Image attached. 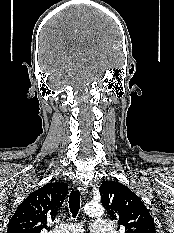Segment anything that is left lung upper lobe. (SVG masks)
<instances>
[{
	"instance_id": "5c2ea615",
	"label": "left lung upper lobe",
	"mask_w": 174,
	"mask_h": 233,
	"mask_svg": "<svg viewBox=\"0 0 174 233\" xmlns=\"http://www.w3.org/2000/svg\"><path fill=\"white\" fill-rule=\"evenodd\" d=\"M101 203L125 233H156L154 219L141 199L125 185L108 181L99 188Z\"/></svg>"
}]
</instances>
